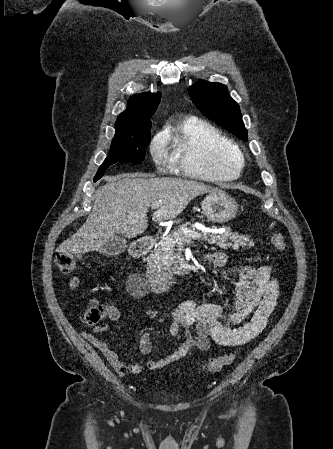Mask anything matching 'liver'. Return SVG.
I'll list each match as a JSON object with an SVG mask.
<instances>
[{
  "mask_svg": "<svg viewBox=\"0 0 333 449\" xmlns=\"http://www.w3.org/2000/svg\"><path fill=\"white\" fill-rule=\"evenodd\" d=\"M215 192L218 190L209 185L183 179L145 178L140 174L107 177V183L95 193L84 225L57 251L69 255L98 251L116 233L134 238L147 229L152 203L162 201L153 221H167L176 218L197 196Z\"/></svg>",
  "mask_w": 333,
  "mask_h": 449,
  "instance_id": "liver-1",
  "label": "liver"
}]
</instances>
